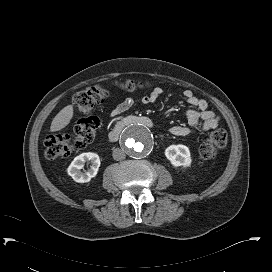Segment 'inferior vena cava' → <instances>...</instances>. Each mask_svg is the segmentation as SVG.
Returning <instances> with one entry per match:
<instances>
[{
	"label": "inferior vena cava",
	"instance_id": "obj_1",
	"mask_svg": "<svg viewBox=\"0 0 272 272\" xmlns=\"http://www.w3.org/2000/svg\"><path fill=\"white\" fill-rule=\"evenodd\" d=\"M112 156H113L114 160L119 161V160H123L125 158V153L122 149L116 148L113 150Z\"/></svg>",
	"mask_w": 272,
	"mask_h": 272
}]
</instances>
